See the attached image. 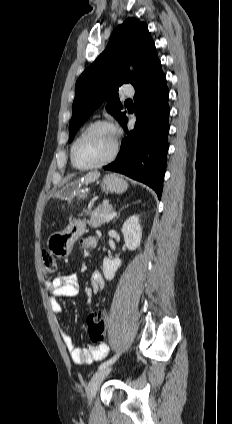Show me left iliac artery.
<instances>
[{
	"label": "left iliac artery",
	"mask_w": 232,
	"mask_h": 424,
	"mask_svg": "<svg viewBox=\"0 0 232 424\" xmlns=\"http://www.w3.org/2000/svg\"><path fill=\"white\" fill-rule=\"evenodd\" d=\"M120 353H117L116 355H114L111 359L103 362L100 366H99V370L103 369L109 365H111L112 363H114L118 358H119Z\"/></svg>",
	"instance_id": "obj_1"
}]
</instances>
